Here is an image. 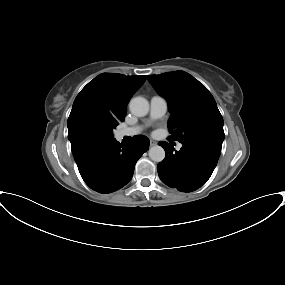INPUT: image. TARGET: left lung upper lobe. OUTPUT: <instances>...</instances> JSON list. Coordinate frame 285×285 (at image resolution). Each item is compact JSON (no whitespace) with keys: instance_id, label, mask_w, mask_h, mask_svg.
<instances>
[{"instance_id":"left-lung-upper-lobe-1","label":"left lung upper lobe","mask_w":285,"mask_h":285,"mask_svg":"<svg viewBox=\"0 0 285 285\" xmlns=\"http://www.w3.org/2000/svg\"><path fill=\"white\" fill-rule=\"evenodd\" d=\"M156 91L168 101L171 116L169 139L182 144L222 147L223 118L206 87L183 71L147 76Z\"/></svg>"}]
</instances>
